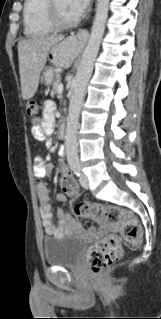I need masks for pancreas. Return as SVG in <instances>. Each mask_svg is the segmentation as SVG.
<instances>
[{
  "label": "pancreas",
  "instance_id": "pancreas-1",
  "mask_svg": "<svg viewBox=\"0 0 161 319\" xmlns=\"http://www.w3.org/2000/svg\"><path fill=\"white\" fill-rule=\"evenodd\" d=\"M60 84H61V77L59 74H57L55 75L54 82H53V87L51 91L52 96H55L58 93L57 89Z\"/></svg>",
  "mask_w": 161,
  "mask_h": 319
}]
</instances>
